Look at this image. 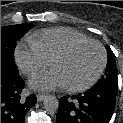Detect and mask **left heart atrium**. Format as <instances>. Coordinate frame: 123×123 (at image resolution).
Listing matches in <instances>:
<instances>
[{
  "label": "left heart atrium",
  "mask_w": 123,
  "mask_h": 123,
  "mask_svg": "<svg viewBox=\"0 0 123 123\" xmlns=\"http://www.w3.org/2000/svg\"><path fill=\"white\" fill-rule=\"evenodd\" d=\"M29 85L31 88L41 91H50L65 86L60 74L53 68L31 78Z\"/></svg>",
  "instance_id": "39dd6f15"
}]
</instances>
